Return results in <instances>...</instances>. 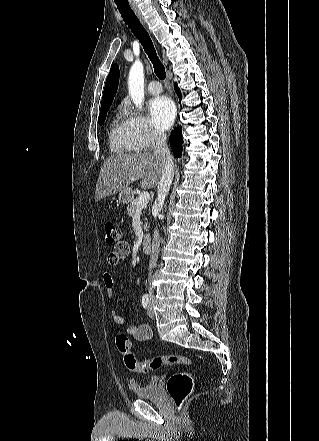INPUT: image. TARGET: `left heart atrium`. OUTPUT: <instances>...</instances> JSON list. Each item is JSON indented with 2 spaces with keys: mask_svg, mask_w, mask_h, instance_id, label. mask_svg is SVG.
Segmentation results:
<instances>
[{
  "mask_svg": "<svg viewBox=\"0 0 319 441\" xmlns=\"http://www.w3.org/2000/svg\"><path fill=\"white\" fill-rule=\"evenodd\" d=\"M149 109L152 120L158 129L165 131L170 128L176 114L175 104L170 98L166 96L154 98L150 102Z\"/></svg>",
  "mask_w": 319,
  "mask_h": 441,
  "instance_id": "39dd6f15",
  "label": "left heart atrium"
}]
</instances>
